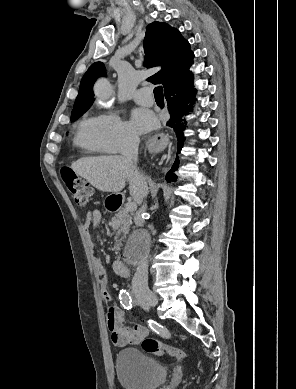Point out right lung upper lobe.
<instances>
[{
    "mask_svg": "<svg viewBox=\"0 0 296 389\" xmlns=\"http://www.w3.org/2000/svg\"><path fill=\"white\" fill-rule=\"evenodd\" d=\"M145 66H162V69L148 78L152 83H162L164 89L176 81H193L187 69L191 66L194 54L190 45L180 34L166 23L152 22L147 26L144 39ZM105 74L101 62L92 64L83 76L73 111L90 107L94 101L93 84ZM72 111V112H73Z\"/></svg>",
    "mask_w": 296,
    "mask_h": 389,
    "instance_id": "obj_1",
    "label": "right lung upper lobe"
}]
</instances>
